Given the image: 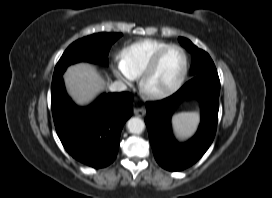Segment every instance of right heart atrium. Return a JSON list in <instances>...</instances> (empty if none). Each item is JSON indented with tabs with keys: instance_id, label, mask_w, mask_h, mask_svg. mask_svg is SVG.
I'll return each mask as SVG.
<instances>
[{
	"instance_id": "d8ad5b80",
	"label": "right heart atrium",
	"mask_w": 272,
	"mask_h": 198,
	"mask_svg": "<svg viewBox=\"0 0 272 198\" xmlns=\"http://www.w3.org/2000/svg\"><path fill=\"white\" fill-rule=\"evenodd\" d=\"M112 70L114 74L127 85L132 84L136 79L119 57H115L112 60Z\"/></svg>"
}]
</instances>
